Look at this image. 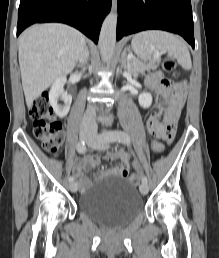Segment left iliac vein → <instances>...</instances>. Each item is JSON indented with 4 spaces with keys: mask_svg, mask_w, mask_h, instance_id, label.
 <instances>
[{
    "mask_svg": "<svg viewBox=\"0 0 219 258\" xmlns=\"http://www.w3.org/2000/svg\"><path fill=\"white\" fill-rule=\"evenodd\" d=\"M105 133H107V132H105ZM98 137H90L87 140L88 146L91 147V148H94V149H102V148L107 147L108 142L107 143L100 142L98 140ZM139 190H140L141 194L146 195L148 193L147 184L141 183L140 186H139Z\"/></svg>",
    "mask_w": 219,
    "mask_h": 258,
    "instance_id": "1",
    "label": "left iliac vein"
}]
</instances>
